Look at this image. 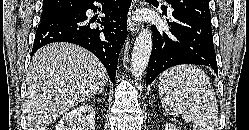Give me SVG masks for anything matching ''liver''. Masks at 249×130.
Here are the masks:
<instances>
[{"label": "liver", "mask_w": 249, "mask_h": 130, "mask_svg": "<svg viewBox=\"0 0 249 130\" xmlns=\"http://www.w3.org/2000/svg\"><path fill=\"white\" fill-rule=\"evenodd\" d=\"M108 74L86 49L69 43L46 45L33 56L24 112L28 130H45L56 118L104 88Z\"/></svg>", "instance_id": "liver-1"}]
</instances>
